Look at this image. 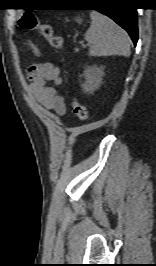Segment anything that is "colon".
<instances>
[{
	"label": "colon",
	"mask_w": 156,
	"mask_h": 266,
	"mask_svg": "<svg viewBox=\"0 0 156 266\" xmlns=\"http://www.w3.org/2000/svg\"><path fill=\"white\" fill-rule=\"evenodd\" d=\"M19 25L25 30H37L42 37L47 39L50 45L55 49L63 47V38L57 35L50 24L43 23L33 12H25L19 19ZM35 55H39V50L32 43H28ZM71 105L73 113L82 122L88 120V111L76 97H72Z\"/></svg>",
	"instance_id": "obj_1"
}]
</instances>
